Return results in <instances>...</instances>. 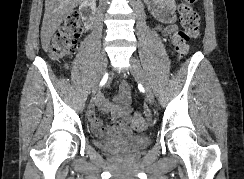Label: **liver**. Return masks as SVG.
Segmentation results:
<instances>
[{
    "label": "liver",
    "mask_w": 244,
    "mask_h": 179,
    "mask_svg": "<svg viewBox=\"0 0 244 179\" xmlns=\"http://www.w3.org/2000/svg\"><path fill=\"white\" fill-rule=\"evenodd\" d=\"M83 0H45V14L41 28V44L44 52H48L51 38L62 24L65 16L73 12Z\"/></svg>",
    "instance_id": "1"
}]
</instances>
